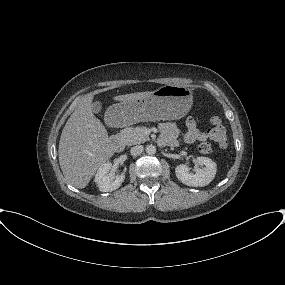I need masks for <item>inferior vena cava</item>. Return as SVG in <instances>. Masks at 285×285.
<instances>
[{
  "label": "inferior vena cava",
  "mask_w": 285,
  "mask_h": 285,
  "mask_svg": "<svg viewBox=\"0 0 285 285\" xmlns=\"http://www.w3.org/2000/svg\"><path fill=\"white\" fill-rule=\"evenodd\" d=\"M143 152V146L142 145H136L131 148L130 153L133 156H138Z\"/></svg>",
  "instance_id": "inferior-vena-cava-1"
}]
</instances>
